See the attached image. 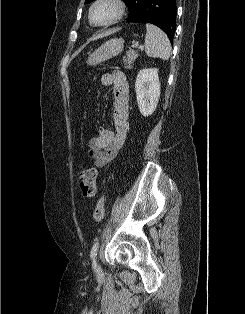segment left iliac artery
<instances>
[{
	"mask_svg": "<svg viewBox=\"0 0 245 314\" xmlns=\"http://www.w3.org/2000/svg\"><path fill=\"white\" fill-rule=\"evenodd\" d=\"M98 246H99V242L96 241L91 249L90 252V257L92 260H95L96 256H97V250H98Z\"/></svg>",
	"mask_w": 245,
	"mask_h": 314,
	"instance_id": "obj_1",
	"label": "left iliac artery"
}]
</instances>
